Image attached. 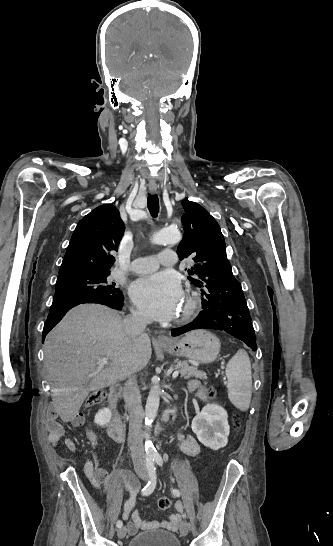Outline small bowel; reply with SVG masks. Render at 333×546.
<instances>
[{"mask_svg":"<svg viewBox=\"0 0 333 546\" xmlns=\"http://www.w3.org/2000/svg\"><path fill=\"white\" fill-rule=\"evenodd\" d=\"M189 390L191 392H194L199 399L201 400L205 399L206 391L204 387L201 385L200 381L198 380L191 381L189 383ZM83 421H84L83 416L78 415L73 420V423L79 426L83 423ZM47 428L49 431V442L53 446L56 447L60 444L61 441H63L64 445L71 452H76L75 443L66 436L62 426L57 422L56 419H51L47 425ZM86 435L93 450V457L92 459H89V458L85 459V473L92 480L93 483L99 484L102 480H105L107 478V472L100 464L99 458L97 456V452H96L97 438L95 433L91 430H87ZM178 440L180 443V448L182 449L184 453L191 456H196L200 453L201 447L194 437L192 436L184 437L183 435H179ZM106 481H107V485H106L105 492L110 498H114L115 488L109 480H106ZM126 485H131L130 478L126 479ZM134 507H135V500L131 498L125 503L124 513L122 516L124 520H127L129 517L131 518V521L128 522V525H127L128 532L130 534L136 533L141 527L147 526V525L148 526L160 525L161 527L167 530L176 531L181 524L183 505L179 501L176 502L175 504L176 513L171 514L167 521H163L160 523L143 521L140 517L139 512L134 510Z\"/></svg>","mask_w":333,"mask_h":546,"instance_id":"small-bowel-1","label":"small bowel"}]
</instances>
